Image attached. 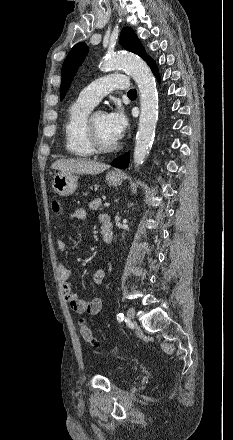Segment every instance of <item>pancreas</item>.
Instances as JSON below:
<instances>
[{"label": "pancreas", "mask_w": 233, "mask_h": 440, "mask_svg": "<svg viewBox=\"0 0 233 440\" xmlns=\"http://www.w3.org/2000/svg\"><path fill=\"white\" fill-rule=\"evenodd\" d=\"M90 210L98 211L101 210V199L97 198L88 204Z\"/></svg>", "instance_id": "1"}]
</instances>
